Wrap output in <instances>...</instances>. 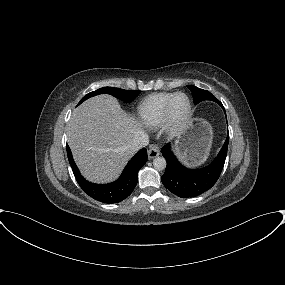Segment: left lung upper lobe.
<instances>
[{
  "label": "left lung upper lobe",
  "mask_w": 285,
  "mask_h": 285,
  "mask_svg": "<svg viewBox=\"0 0 285 285\" xmlns=\"http://www.w3.org/2000/svg\"><path fill=\"white\" fill-rule=\"evenodd\" d=\"M187 87L192 92L195 105L203 100H212V101L219 103V101L209 91L200 89L193 85H188Z\"/></svg>",
  "instance_id": "obj_1"
}]
</instances>
